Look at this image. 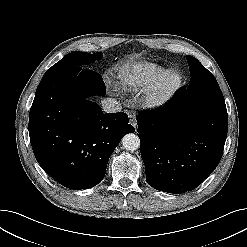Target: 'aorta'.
Returning <instances> with one entry per match:
<instances>
[{
  "mask_svg": "<svg viewBox=\"0 0 247 247\" xmlns=\"http://www.w3.org/2000/svg\"><path fill=\"white\" fill-rule=\"evenodd\" d=\"M122 145L126 150L135 151L140 147V139L134 133H128L122 138Z\"/></svg>",
  "mask_w": 247,
  "mask_h": 247,
  "instance_id": "762f6f07",
  "label": "aorta"
}]
</instances>
